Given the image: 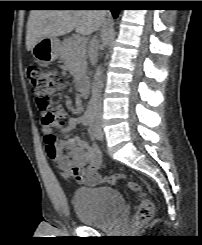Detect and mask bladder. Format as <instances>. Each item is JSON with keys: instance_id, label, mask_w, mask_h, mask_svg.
<instances>
[{"instance_id": "bladder-1", "label": "bladder", "mask_w": 202, "mask_h": 245, "mask_svg": "<svg viewBox=\"0 0 202 245\" xmlns=\"http://www.w3.org/2000/svg\"><path fill=\"white\" fill-rule=\"evenodd\" d=\"M124 207L122 194L113 188L83 186L75 190L73 209L79 222L94 227L108 225Z\"/></svg>"}]
</instances>
